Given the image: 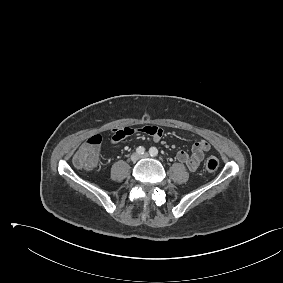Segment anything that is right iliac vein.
Wrapping results in <instances>:
<instances>
[{
    "instance_id": "63e3f726",
    "label": "right iliac vein",
    "mask_w": 283,
    "mask_h": 283,
    "mask_svg": "<svg viewBox=\"0 0 283 283\" xmlns=\"http://www.w3.org/2000/svg\"><path fill=\"white\" fill-rule=\"evenodd\" d=\"M140 155L138 153H133L131 155V161L136 162L137 160H139Z\"/></svg>"
}]
</instances>
